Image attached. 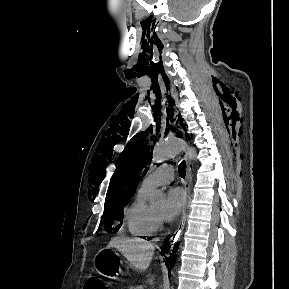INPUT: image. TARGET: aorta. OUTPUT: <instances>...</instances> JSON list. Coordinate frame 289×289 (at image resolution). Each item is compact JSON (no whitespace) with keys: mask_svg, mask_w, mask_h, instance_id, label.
<instances>
[{"mask_svg":"<svg viewBox=\"0 0 289 289\" xmlns=\"http://www.w3.org/2000/svg\"><path fill=\"white\" fill-rule=\"evenodd\" d=\"M183 152H187L191 159L196 158V151L189 146L183 139L177 137H168L163 141L158 142L153 150V163L160 164L173 159ZM165 194L161 190H155L150 195V202L155 203L162 201Z\"/></svg>","mask_w":289,"mask_h":289,"instance_id":"1","label":"aorta"}]
</instances>
